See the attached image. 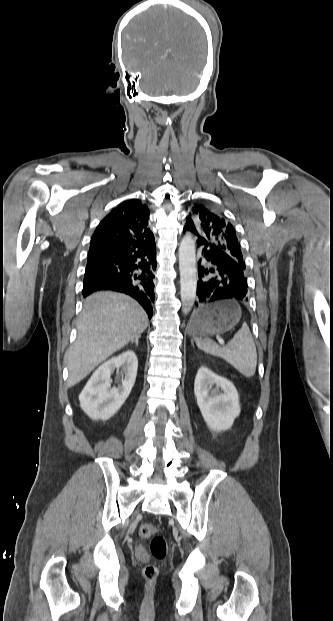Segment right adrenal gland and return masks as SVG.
Returning a JSON list of instances; mask_svg holds the SVG:
<instances>
[{
  "instance_id": "right-adrenal-gland-1",
  "label": "right adrenal gland",
  "mask_w": 333,
  "mask_h": 621,
  "mask_svg": "<svg viewBox=\"0 0 333 621\" xmlns=\"http://www.w3.org/2000/svg\"><path fill=\"white\" fill-rule=\"evenodd\" d=\"M138 339L139 337H136L134 340L131 341V343L135 342L136 346H138Z\"/></svg>"
}]
</instances>
